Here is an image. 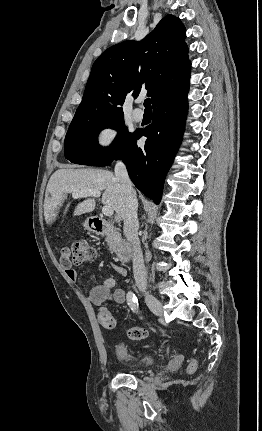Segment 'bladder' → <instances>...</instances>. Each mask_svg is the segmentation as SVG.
I'll return each instance as SVG.
<instances>
[{
  "label": "bladder",
  "mask_w": 262,
  "mask_h": 431,
  "mask_svg": "<svg viewBox=\"0 0 262 431\" xmlns=\"http://www.w3.org/2000/svg\"><path fill=\"white\" fill-rule=\"evenodd\" d=\"M119 358L128 366L144 367L155 362L156 356L152 353H135L123 345L117 346Z\"/></svg>",
  "instance_id": "1"
}]
</instances>
